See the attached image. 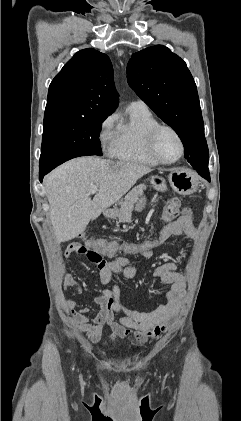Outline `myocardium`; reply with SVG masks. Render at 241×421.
I'll list each match as a JSON object with an SVG mask.
<instances>
[{
	"mask_svg": "<svg viewBox=\"0 0 241 421\" xmlns=\"http://www.w3.org/2000/svg\"><path fill=\"white\" fill-rule=\"evenodd\" d=\"M163 130L170 131L172 134H174V136L177 138V140L179 142V145H180V153H179L178 157L175 158L174 160H171V161H167V160L162 159L160 157V155L158 154L157 149H156L157 137H158L159 133ZM146 145H147V149H148V152L150 153V155L159 164H163V165H171V164H174V163L178 162L183 157L184 152H185V144H184L182 136L180 135V133L174 127H172L170 125L158 124L155 127H153L147 135Z\"/></svg>",
	"mask_w": 241,
	"mask_h": 421,
	"instance_id": "obj_1",
	"label": "myocardium"
}]
</instances>
